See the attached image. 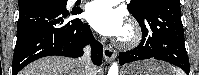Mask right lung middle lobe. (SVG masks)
Masks as SVG:
<instances>
[{"label": "right lung middle lobe", "instance_id": "dd1d6c3e", "mask_svg": "<svg viewBox=\"0 0 199 75\" xmlns=\"http://www.w3.org/2000/svg\"><path fill=\"white\" fill-rule=\"evenodd\" d=\"M37 5L54 6L63 9L65 12H68L66 10L67 0H18L19 8Z\"/></svg>", "mask_w": 199, "mask_h": 75}]
</instances>
